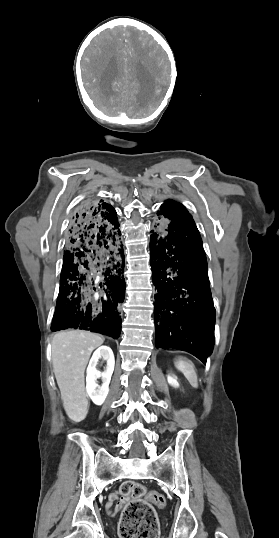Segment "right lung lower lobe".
<instances>
[{"label":"right lung lower lobe","mask_w":279,"mask_h":538,"mask_svg":"<svg viewBox=\"0 0 279 538\" xmlns=\"http://www.w3.org/2000/svg\"><path fill=\"white\" fill-rule=\"evenodd\" d=\"M115 209L103 200L71 217L53 332L82 329L118 337L125 298L124 253Z\"/></svg>","instance_id":"1"}]
</instances>
